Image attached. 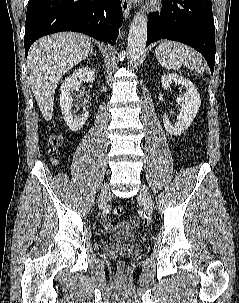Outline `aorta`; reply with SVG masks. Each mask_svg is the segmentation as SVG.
<instances>
[{
	"label": "aorta",
	"instance_id": "762f6f07",
	"mask_svg": "<svg viewBox=\"0 0 239 303\" xmlns=\"http://www.w3.org/2000/svg\"><path fill=\"white\" fill-rule=\"evenodd\" d=\"M147 40V16L138 12L130 26L127 44V57L131 63H135L142 56Z\"/></svg>",
	"mask_w": 239,
	"mask_h": 303
}]
</instances>
